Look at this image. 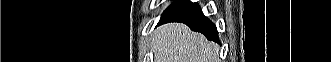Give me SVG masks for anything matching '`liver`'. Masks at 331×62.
<instances>
[{
	"instance_id": "1",
	"label": "liver",
	"mask_w": 331,
	"mask_h": 62,
	"mask_svg": "<svg viewBox=\"0 0 331 62\" xmlns=\"http://www.w3.org/2000/svg\"><path fill=\"white\" fill-rule=\"evenodd\" d=\"M155 62H217L219 46L187 26L166 24L154 36Z\"/></svg>"
}]
</instances>
